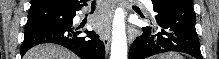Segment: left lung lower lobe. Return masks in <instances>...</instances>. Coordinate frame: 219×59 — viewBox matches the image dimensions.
I'll return each instance as SVG.
<instances>
[{
    "instance_id": "0a47b994",
    "label": "left lung lower lobe",
    "mask_w": 219,
    "mask_h": 59,
    "mask_svg": "<svg viewBox=\"0 0 219 59\" xmlns=\"http://www.w3.org/2000/svg\"><path fill=\"white\" fill-rule=\"evenodd\" d=\"M159 27H144L133 42L129 59H146L152 55L177 51L203 59L195 29L196 14L192 0L177 3H153Z\"/></svg>"
}]
</instances>
